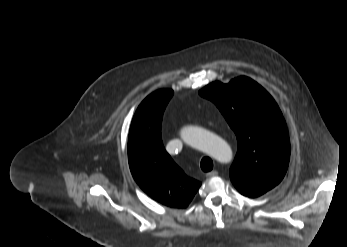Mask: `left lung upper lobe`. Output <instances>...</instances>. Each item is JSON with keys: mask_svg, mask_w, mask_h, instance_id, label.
I'll return each instance as SVG.
<instances>
[{"mask_svg": "<svg viewBox=\"0 0 347 247\" xmlns=\"http://www.w3.org/2000/svg\"><path fill=\"white\" fill-rule=\"evenodd\" d=\"M199 94L215 103L236 134L230 178L238 191L263 194L279 184L288 168L290 141L271 95L244 76L229 84L213 82Z\"/></svg>", "mask_w": 347, "mask_h": 247, "instance_id": "1", "label": "left lung upper lobe"}]
</instances>
